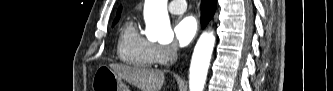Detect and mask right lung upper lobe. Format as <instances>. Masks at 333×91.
Returning a JSON list of instances; mask_svg holds the SVG:
<instances>
[{"instance_id": "obj_1", "label": "right lung upper lobe", "mask_w": 333, "mask_h": 91, "mask_svg": "<svg viewBox=\"0 0 333 91\" xmlns=\"http://www.w3.org/2000/svg\"><path fill=\"white\" fill-rule=\"evenodd\" d=\"M120 13H121V7L118 9V11H117V17L116 18H119L120 17ZM115 18V19H116Z\"/></svg>"}]
</instances>
